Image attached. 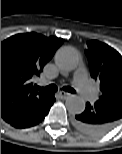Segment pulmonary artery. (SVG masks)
<instances>
[{
	"label": "pulmonary artery",
	"mask_w": 122,
	"mask_h": 154,
	"mask_svg": "<svg viewBox=\"0 0 122 154\" xmlns=\"http://www.w3.org/2000/svg\"><path fill=\"white\" fill-rule=\"evenodd\" d=\"M74 83L85 99L94 100L96 98V93L89 85L84 69H78L75 71Z\"/></svg>",
	"instance_id": "pulmonary-artery-1"
}]
</instances>
